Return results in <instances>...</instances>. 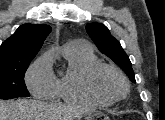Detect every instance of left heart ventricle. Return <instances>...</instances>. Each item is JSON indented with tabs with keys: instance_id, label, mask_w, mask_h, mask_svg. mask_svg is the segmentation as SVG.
I'll return each mask as SVG.
<instances>
[{
	"instance_id": "left-heart-ventricle-1",
	"label": "left heart ventricle",
	"mask_w": 165,
	"mask_h": 120,
	"mask_svg": "<svg viewBox=\"0 0 165 120\" xmlns=\"http://www.w3.org/2000/svg\"><path fill=\"white\" fill-rule=\"evenodd\" d=\"M96 85L98 90L107 96H119L124 90L120 77L110 70H104L98 75Z\"/></svg>"
}]
</instances>
